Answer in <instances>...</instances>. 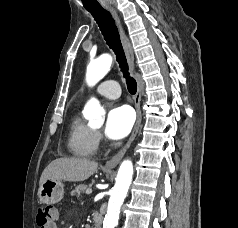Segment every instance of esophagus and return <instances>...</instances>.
<instances>
[{
    "label": "esophagus",
    "instance_id": "1",
    "mask_svg": "<svg viewBox=\"0 0 238 228\" xmlns=\"http://www.w3.org/2000/svg\"><path fill=\"white\" fill-rule=\"evenodd\" d=\"M109 11L111 12L113 18L115 19L117 26L119 28V32H120V37H121V41H122V45L126 54V58H127V62L130 68V71L132 74L135 73V67H134V53H133V49L130 43V40L127 36V34L125 33L123 26L121 24L120 18L116 12L115 9L110 8ZM137 81V92L134 96V105H135V109L137 112V119H136V123L134 125L133 131L131 133V136L128 140V142L125 144V146L116 154L114 155L109 161L106 162L105 164V168L108 169H112L115 168L118 163L121 161V159L123 158L124 154L126 153V151L128 150V148L130 147L131 143L133 142L140 124H141V120H142V114H141V107H140V102H141V94H142V86L141 83L138 79H136Z\"/></svg>",
    "mask_w": 238,
    "mask_h": 228
}]
</instances>
